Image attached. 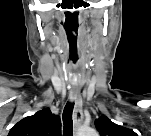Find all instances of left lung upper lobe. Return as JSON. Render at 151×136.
<instances>
[{"label":"left lung upper lobe","mask_w":151,"mask_h":136,"mask_svg":"<svg viewBox=\"0 0 151 136\" xmlns=\"http://www.w3.org/2000/svg\"><path fill=\"white\" fill-rule=\"evenodd\" d=\"M95 126L101 136H133V131L113 123L109 118L102 116L95 121Z\"/></svg>","instance_id":"left-lung-upper-lobe-1"}]
</instances>
